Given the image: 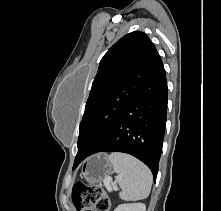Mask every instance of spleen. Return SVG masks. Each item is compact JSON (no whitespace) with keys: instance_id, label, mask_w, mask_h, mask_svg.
I'll return each mask as SVG.
<instances>
[{"instance_id":"obj_1","label":"spleen","mask_w":221,"mask_h":211,"mask_svg":"<svg viewBox=\"0 0 221 211\" xmlns=\"http://www.w3.org/2000/svg\"><path fill=\"white\" fill-rule=\"evenodd\" d=\"M113 171L119 175V196L122 200L137 201L148 197L152 185V173L136 158L124 153L108 156Z\"/></svg>"}]
</instances>
